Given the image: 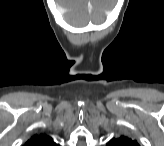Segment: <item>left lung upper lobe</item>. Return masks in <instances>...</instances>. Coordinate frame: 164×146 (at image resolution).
Wrapping results in <instances>:
<instances>
[{
	"mask_svg": "<svg viewBox=\"0 0 164 146\" xmlns=\"http://www.w3.org/2000/svg\"><path fill=\"white\" fill-rule=\"evenodd\" d=\"M107 146H138L137 142L126 136L111 139Z\"/></svg>",
	"mask_w": 164,
	"mask_h": 146,
	"instance_id": "1",
	"label": "left lung upper lobe"
}]
</instances>
